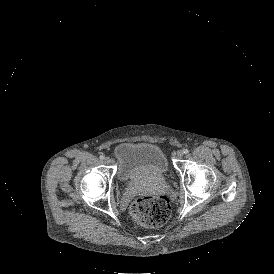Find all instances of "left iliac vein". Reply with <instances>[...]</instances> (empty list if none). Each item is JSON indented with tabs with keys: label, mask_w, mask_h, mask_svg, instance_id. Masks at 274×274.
Returning a JSON list of instances; mask_svg holds the SVG:
<instances>
[{
	"label": "left iliac vein",
	"mask_w": 274,
	"mask_h": 274,
	"mask_svg": "<svg viewBox=\"0 0 274 274\" xmlns=\"http://www.w3.org/2000/svg\"><path fill=\"white\" fill-rule=\"evenodd\" d=\"M184 155V152L183 150H178L177 153H176V158L177 159H181Z\"/></svg>",
	"instance_id": "1"
}]
</instances>
